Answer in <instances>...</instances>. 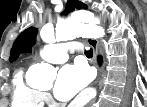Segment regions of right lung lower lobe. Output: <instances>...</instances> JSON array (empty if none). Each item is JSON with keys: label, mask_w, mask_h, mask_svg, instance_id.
Returning a JSON list of instances; mask_svg holds the SVG:
<instances>
[{"label": "right lung lower lobe", "mask_w": 147, "mask_h": 107, "mask_svg": "<svg viewBox=\"0 0 147 107\" xmlns=\"http://www.w3.org/2000/svg\"><path fill=\"white\" fill-rule=\"evenodd\" d=\"M98 60H99V63H101V62H102L101 57H99V58H98Z\"/></svg>", "instance_id": "1"}]
</instances>
